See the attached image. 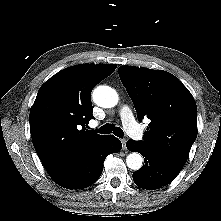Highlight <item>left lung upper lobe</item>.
I'll list each match as a JSON object with an SVG mask.
<instances>
[{"instance_id":"left-lung-upper-lobe-1","label":"left lung upper lobe","mask_w":221,"mask_h":221,"mask_svg":"<svg viewBox=\"0 0 221 221\" xmlns=\"http://www.w3.org/2000/svg\"><path fill=\"white\" fill-rule=\"evenodd\" d=\"M119 77L139 121L151 120L142 142L184 166L197 137V106L191 93L163 70L122 66Z\"/></svg>"}]
</instances>
